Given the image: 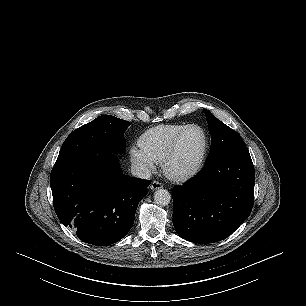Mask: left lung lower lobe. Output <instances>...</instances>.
<instances>
[{"label":"left lung lower lobe","instance_id":"left-lung-lower-lobe-1","mask_svg":"<svg viewBox=\"0 0 306 306\" xmlns=\"http://www.w3.org/2000/svg\"><path fill=\"white\" fill-rule=\"evenodd\" d=\"M255 172L249 153L206 163L172 190L173 225L190 242L213 243L231 235L250 215Z\"/></svg>","mask_w":306,"mask_h":306}]
</instances>
